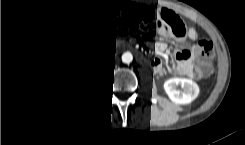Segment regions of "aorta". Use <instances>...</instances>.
<instances>
[{"label":"aorta","instance_id":"aorta-1","mask_svg":"<svg viewBox=\"0 0 245 145\" xmlns=\"http://www.w3.org/2000/svg\"><path fill=\"white\" fill-rule=\"evenodd\" d=\"M133 60V56L130 52H126L122 55V61L126 64L131 63Z\"/></svg>","mask_w":245,"mask_h":145}]
</instances>
